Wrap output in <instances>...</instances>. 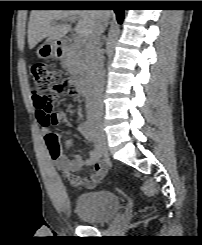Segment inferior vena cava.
<instances>
[{
  "instance_id": "inferior-vena-cava-1",
  "label": "inferior vena cava",
  "mask_w": 202,
  "mask_h": 245,
  "mask_svg": "<svg viewBox=\"0 0 202 245\" xmlns=\"http://www.w3.org/2000/svg\"><path fill=\"white\" fill-rule=\"evenodd\" d=\"M108 21H99L88 37L85 48L87 95L86 109L88 115H101L103 111L102 93L104 89V63L101 50V36L107 27Z\"/></svg>"
}]
</instances>
